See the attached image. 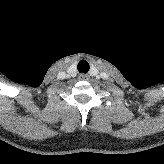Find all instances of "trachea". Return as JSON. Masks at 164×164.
<instances>
[{
    "label": "trachea",
    "mask_w": 164,
    "mask_h": 164,
    "mask_svg": "<svg viewBox=\"0 0 164 164\" xmlns=\"http://www.w3.org/2000/svg\"><path fill=\"white\" fill-rule=\"evenodd\" d=\"M77 69L80 73H87L90 69L89 63L86 60H81L78 65Z\"/></svg>",
    "instance_id": "1"
}]
</instances>
